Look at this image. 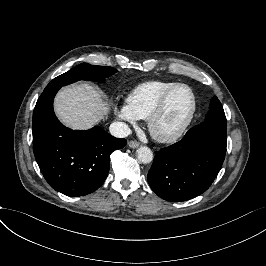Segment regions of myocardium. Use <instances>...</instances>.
<instances>
[{
    "instance_id": "obj_1",
    "label": "myocardium",
    "mask_w": 266,
    "mask_h": 266,
    "mask_svg": "<svg viewBox=\"0 0 266 266\" xmlns=\"http://www.w3.org/2000/svg\"><path fill=\"white\" fill-rule=\"evenodd\" d=\"M179 87H186L189 89V91L192 94V98H193V109L192 112L189 116V118L187 119V121L185 122V124L175 133L170 134V135H163L158 133L155 128H154V123L156 121V119L162 114V112L164 111L166 104L168 102V100L170 99V97L172 96V94L179 88ZM198 111V98H197V94L194 90V88L187 84V83H183L180 82L178 84H176L175 86L171 87L170 89H168L159 99V101L157 102V104L155 105V107L153 108V110L150 112L148 118H147V127L148 130L151 134V136L156 139L159 142L162 143H172L177 141L178 139H180L186 132L187 130L190 128V126L192 125L196 114Z\"/></svg>"
}]
</instances>
